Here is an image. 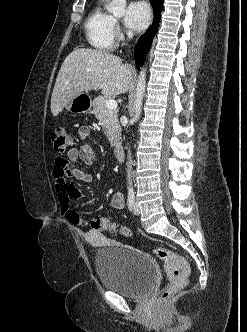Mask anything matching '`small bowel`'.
Here are the masks:
<instances>
[{
  "instance_id": "1",
  "label": "small bowel",
  "mask_w": 247,
  "mask_h": 332,
  "mask_svg": "<svg viewBox=\"0 0 247 332\" xmlns=\"http://www.w3.org/2000/svg\"><path fill=\"white\" fill-rule=\"evenodd\" d=\"M89 133L90 130L87 126L79 128V136L82 140H85ZM78 160H82L87 166H94L97 163L96 154L87 142L81 143L79 148L69 150L66 158L57 157L55 159L53 177L60 207L65 217L73 225L86 228L89 226V221L83 218L72 205V200L83 196V193L67 182L69 177L86 183L91 182L92 176L76 166ZM110 204L116 210L123 209V193L115 189L112 193Z\"/></svg>"
}]
</instances>
